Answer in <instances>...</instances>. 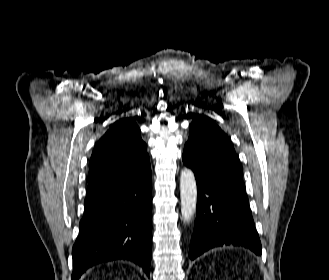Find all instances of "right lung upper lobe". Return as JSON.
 <instances>
[{
  "instance_id": "cb5924a9",
  "label": "right lung upper lobe",
  "mask_w": 329,
  "mask_h": 280,
  "mask_svg": "<svg viewBox=\"0 0 329 280\" xmlns=\"http://www.w3.org/2000/svg\"><path fill=\"white\" fill-rule=\"evenodd\" d=\"M150 168L146 144L132 118H123L105 133L94 147L90 159V181L121 172Z\"/></svg>"
}]
</instances>
